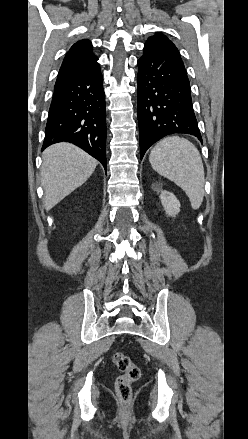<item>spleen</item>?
Segmentation results:
<instances>
[{"label": "spleen", "instance_id": "1", "mask_svg": "<svg viewBox=\"0 0 248 439\" xmlns=\"http://www.w3.org/2000/svg\"><path fill=\"white\" fill-rule=\"evenodd\" d=\"M152 168L173 181L189 197L193 209H198L204 198V167L198 149L185 138L169 136L151 150Z\"/></svg>", "mask_w": 248, "mask_h": 439}]
</instances>
